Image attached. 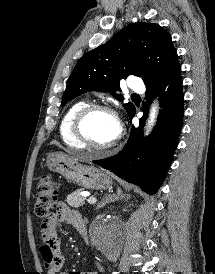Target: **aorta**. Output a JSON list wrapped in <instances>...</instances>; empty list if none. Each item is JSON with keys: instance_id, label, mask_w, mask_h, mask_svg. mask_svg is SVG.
Listing matches in <instances>:
<instances>
[{"instance_id": "obj_1", "label": "aorta", "mask_w": 215, "mask_h": 274, "mask_svg": "<svg viewBox=\"0 0 215 274\" xmlns=\"http://www.w3.org/2000/svg\"><path fill=\"white\" fill-rule=\"evenodd\" d=\"M156 109L155 108H152L151 109V112H150V115H149V122H148V124H149V128L153 125V123H154V120H155V118H156Z\"/></svg>"}]
</instances>
